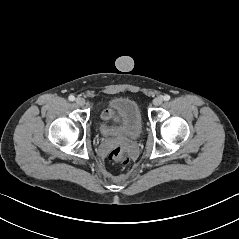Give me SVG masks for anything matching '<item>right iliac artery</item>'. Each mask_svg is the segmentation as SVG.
Segmentation results:
<instances>
[{"mask_svg":"<svg viewBox=\"0 0 239 239\" xmlns=\"http://www.w3.org/2000/svg\"><path fill=\"white\" fill-rule=\"evenodd\" d=\"M68 99H69L70 101H74V100H75V97H74L73 95H70V96L68 97Z\"/></svg>","mask_w":239,"mask_h":239,"instance_id":"right-iliac-artery-1","label":"right iliac artery"}]
</instances>
